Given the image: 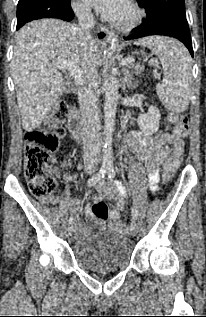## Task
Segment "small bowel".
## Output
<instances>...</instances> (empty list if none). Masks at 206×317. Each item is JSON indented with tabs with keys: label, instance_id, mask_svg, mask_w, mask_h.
Wrapping results in <instances>:
<instances>
[{
	"label": "small bowel",
	"instance_id": "obj_1",
	"mask_svg": "<svg viewBox=\"0 0 206 317\" xmlns=\"http://www.w3.org/2000/svg\"><path fill=\"white\" fill-rule=\"evenodd\" d=\"M129 142L134 153L146 163L145 168L148 173V184L150 190L155 192L159 181V165L169 156L170 145L180 143V138L170 133L148 136L141 132H132L129 136ZM96 189L102 197L115 199V205L109 214L112 226L114 222L118 221L124 210V200L127 196V192L121 182H117L113 186H106L99 183L96 185ZM97 200L98 198H94V201ZM48 203L56 204L58 203V199L53 197L48 200ZM69 208L77 215L80 210V205L77 200L71 199L69 201ZM85 213L88 217V225H84L78 217L75 218L78 237L87 235L90 228H104V223L94 215L90 207L86 208Z\"/></svg>",
	"mask_w": 206,
	"mask_h": 317
}]
</instances>
